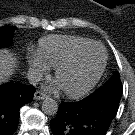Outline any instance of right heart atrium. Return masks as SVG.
<instances>
[{
	"label": "right heart atrium",
	"instance_id": "obj_1",
	"mask_svg": "<svg viewBox=\"0 0 135 135\" xmlns=\"http://www.w3.org/2000/svg\"><path fill=\"white\" fill-rule=\"evenodd\" d=\"M28 64L33 69H37L42 72L47 71V67L44 61L41 59V57L37 53H34L28 57Z\"/></svg>",
	"mask_w": 135,
	"mask_h": 135
}]
</instances>
